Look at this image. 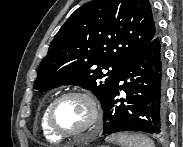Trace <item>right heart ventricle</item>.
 <instances>
[{"instance_id":"right-heart-ventricle-1","label":"right heart ventricle","mask_w":183,"mask_h":147,"mask_svg":"<svg viewBox=\"0 0 183 147\" xmlns=\"http://www.w3.org/2000/svg\"><path fill=\"white\" fill-rule=\"evenodd\" d=\"M51 102H48V104L44 107L42 115H41V129L43 132V135L50 141H61L62 138L55 135L48 127L47 125V110Z\"/></svg>"}]
</instances>
